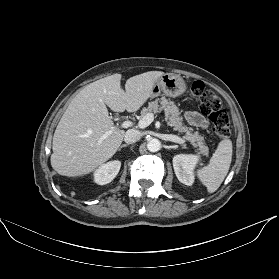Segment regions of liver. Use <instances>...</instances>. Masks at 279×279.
<instances>
[{"instance_id":"6515ba94","label":"liver","mask_w":279,"mask_h":279,"mask_svg":"<svg viewBox=\"0 0 279 279\" xmlns=\"http://www.w3.org/2000/svg\"><path fill=\"white\" fill-rule=\"evenodd\" d=\"M164 74L149 71L133 76L126 81L125 91L121 74L87 85L71 101L54 132L52 168L60 175L75 177L109 160L120 147L125 131L115 128L106 106L115 112L139 110ZM110 130L113 132L103 138Z\"/></svg>"}]
</instances>
